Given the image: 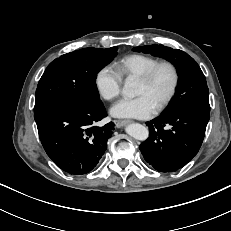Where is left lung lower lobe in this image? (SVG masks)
<instances>
[{"instance_id":"1","label":"left lung lower lobe","mask_w":231,"mask_h":231,"mask_svg":"<svg viewBox=\"0 0 231 231\" xmlns=\"http://www.w3.org/2000/svg\"><path fill=\"white\" fill-rule=\"evenodd\" d=\"M209 118L200 110L178 109L147 122L149 138L139 147L144 159L161 172L182 168L198 153Z\"/></svg>"}]
</instances>
